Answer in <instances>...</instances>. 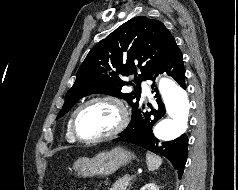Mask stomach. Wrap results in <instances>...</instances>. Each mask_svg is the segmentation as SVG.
Returning <instances> with one entry per match:
<instances>
[{"instance_id": "0dacf381", "label": "stomach", "mask_w": 238, "mask_h": 190, "mask_svg": "<svg viewBox=\"0 0 238 190\" xmlns=\"http://www.w3.org/2000/svg\"><path fill=\"white\" fill-rule=\"evenodd\" d=\"M135 155L121 147H115L110 151L100 152L93 158L82 157L74 162L73 169L84 178L106 177L115 173L120 167L126 166Z\"/></svg>"}]
</instances>
